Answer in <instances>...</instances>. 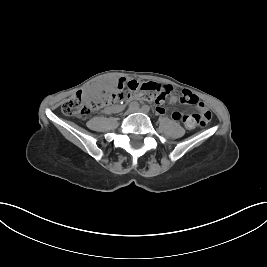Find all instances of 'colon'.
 <instances>
[{
    "label": "colon",
    "mask_w": 267,
    "mask_h": 267,
    "mask_svg": "<svg viewBox=\"0 0 267 267\" xmlns=\"http://www.w3.org/2000/svg\"><path fill=\"white\" fill-rule=\"evenodd\" d=\"M171 91L169 85L132 80L126 84L119 83L111 92L103 91L99 97L92 100L86 99L81 92L75 93L62 103L61 109L68 116L82 118L91 112L131 97H140L145 101L161 104L168 98ZM181 102L196 105L197 113L189 116L190 122L201 127L209 124L211 112L207 108L199 107L198 98L194 94L184 91L181 95Z\"/></svg>",
    "instance_id": "5ec220e1"
}]
</instances>
